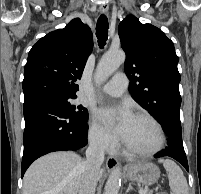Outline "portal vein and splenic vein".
Returning <instances> with one entry per match:
<instances>
[{
	"label": "portal vein and splenic vein",
	"instance_id": "18ae733b",
	"mask_svg": "<svg viewBox=\"0 0 201 194\" xmlns=\"http://www.w3.org/2000/svg\"><path fill=\"white\" fill-rule=\"evenodd\" d=\"M146 192H147V189H140L139 190V194H146Z\"/></svg>",
	"mask_w": 201,
	"mask_h": 194
}]
</instances>
